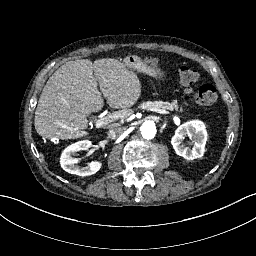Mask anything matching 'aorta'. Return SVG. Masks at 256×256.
I'll list each match as a JSON object with an SVG mask.
<instances>
[{
    "instance_id": "1",
    "label": "aorta",
    "mask_w": 256,
    "mask_h": 256,
    "mask_svg": "<svg viewBox=\"0 0 256 256\" xmlns=\"http://www.w3.org/2000/svg\"><path fill=\"white\" fill-rule=\"evenodd\" d=\"M140 131L144 139H153L157 133V126L153 122H144Z\"/></svg>"
}]
</instances>
